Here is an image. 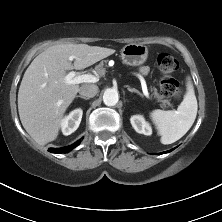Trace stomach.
Masks as SVG:
<instances>
[{"label": "stomach", "mask_w": 222, "mask_h": 222, "mask_svg": "<svg viewBox=\"0 0 222 222\" xmlns=\"http://www.w3.org/2000/svg\"><path fill=\"white\" fill-rule=\"evenodd\" d=\"M148 57V47L142 43H130L121 50L124 64L138 66L143 64Z\"/></svg>", "instance_id": "1"}]
</instances>
